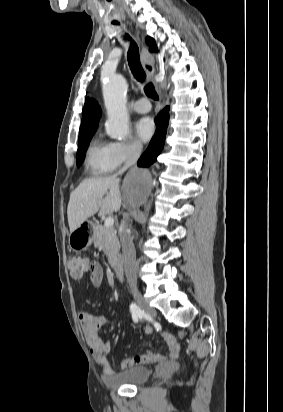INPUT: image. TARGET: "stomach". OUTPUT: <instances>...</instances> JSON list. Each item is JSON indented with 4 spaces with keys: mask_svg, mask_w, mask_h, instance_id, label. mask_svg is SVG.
I'll return each mask as SVG.
<instances>
[{
    "mask_svg": "<svg viewBox=\"0 0 283 412\" xmlns=\"http://www.w3.org/2000/svg\"><path fill=\"white\" fill-rule=\"evenodd\" d=\"M94 225L90 221L83 222L69 235V247L72 250H84L94 241Z\"/></svg>",
    "mask_w": 283,
    "mask_h": 412,
    "instance_id": "stomach-1",
    "label": "stomach"
}]
</instances>
